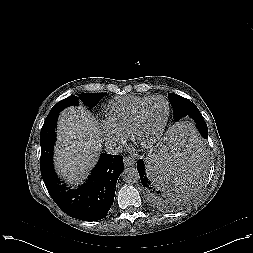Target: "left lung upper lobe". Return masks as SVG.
<instances>
[{"label":"left lung upper lobe","mask_w":253,"mask_h":253,"mask_svg":"<svg viewBox=\"0 0 253 253\" xmlns=\"http://www.w3.org/2000/svg\"><path fill=\"white\" fill-rule=\"evenodd\" d=\"M169 101L173 107V113L176 121L184 117H191L198 128L199 133L204 139H207V125L198 110V108L188 99L174 93L168 94Z\"/></svg>","instance_id":"1"}]
</instances>
